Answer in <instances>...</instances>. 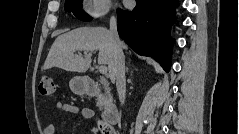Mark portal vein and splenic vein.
<instances>
[{"label": "portal vein and splenic vein", "instance_id": "obj_1", "mask_svg": "<svg viewBox=\"0 0 239 134\" xmlns=\"http://www.w3.org/2000/svg\"><path fill=\"white\" fill-rule=\"evenodd\" d=\"M99 72H100L101 74H103V75H106V74H107V67L101 65V66L99 67Z\"/></svg>", "mask_w": 239, "mask_h": 134}]
</instances>
